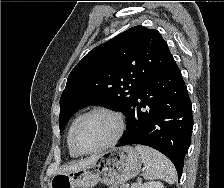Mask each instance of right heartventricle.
Here are the masks:
<instances>
[{"instance_id": "1", "label": "right heart ventricle", "mask_w": 224, "mask_h": 188, "mask_svg": "<svg viewBox=\"0 0 224 188\" xmlns=\"http://www.w3.org/2000/svg\"><path fill=\"white\" fill-rule=\"evenodd\" d=\"M79 117L75 118L70 127H69V130H68V134H67V146H68V149H69V153L72 157H78L80 154L77 153L74 149H73V146H72V142H71V136H72V130H73V127L77 121Z\"/></svg>"}]
</instances>
